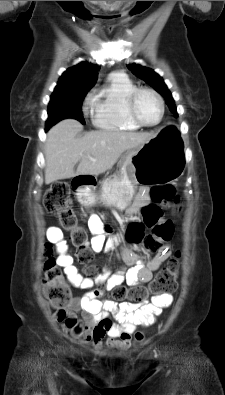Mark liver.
<instances>
[{"label": "liver", "instance_id": "6515ba94", "mask_svg": "<svg viewBox=\"0 0 225 395\" xmlns=\"http://www.w3.org/2000/svg\"><path fill=\"white\" fill-rule=\"evenodd\" d=\"M82 129L77 120L65 119L49 130L45 145L46 184L74 176L102 174L111 169L125 151L135 149L156 136L148 132L105 130L76 138Z\"/></svg>", "mask_w": 225, "mask_h": 395}]
</instances>
